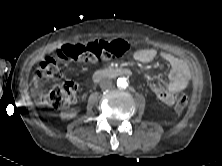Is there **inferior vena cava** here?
I'll use <instances>...</instances> for the list:
<instances>
[{
    "instance_id": "602c4592",
    "label": "inferior vena cava",
    "mask_w": 222,
    "mask_h": 166,
    "mask_svg": "<svg viewBox=\"0 0 222 166\" xmlns=\"http://www.w3.org/2000/svg\"><path fill=\"white\" fill-rule=\"evenodd\" d=\"M100 86L103 89H109L112 87V81L110 79H103L100 81Z\"/></svg>"
}]
</instances>
